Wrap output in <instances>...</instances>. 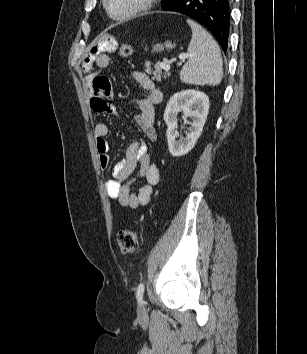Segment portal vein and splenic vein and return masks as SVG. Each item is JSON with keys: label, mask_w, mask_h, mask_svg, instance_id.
I'll list each match as a JSON object with an SVG mask.
<instances>
[{"label": "portal vein and splenic vein", "mask_w": 307, "mask_h": 354, "mask_svg": "<svg viewBox=\"0 0 307 354\" xmlns=\"http://www.w3.org/2000/svg\"><path fill=\"white\" fill-rule=\"evenodd\" d=\"M188 58V55H180L179 56V59L181 61H185V59ZM172 63L171 60H166L165 62H163L161 64L162 68L165 70V71H169L170 70V64Z\"/></svg>", "instance_id": "1"}]
</instances>
